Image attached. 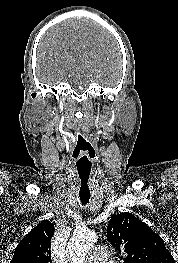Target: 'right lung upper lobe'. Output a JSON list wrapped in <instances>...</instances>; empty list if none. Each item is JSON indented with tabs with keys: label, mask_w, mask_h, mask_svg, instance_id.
<instances>
[{
	"label": "right lung upper lobe",
	"mask_w": 178,
	"mask_h": 263,
	"mask_svg": "<svg viewBox=\"0 0 178 263\" xmlns=\"http://www.w3.org/2000/svg\"><path fill=\"white\" fill-rule=\"evenodd\" d=\"M53 233V224L41 221L16 247L10 263H52L50 247Z\"/></svg>",
	"instance_id": "obj_1"
}]
</instances>
